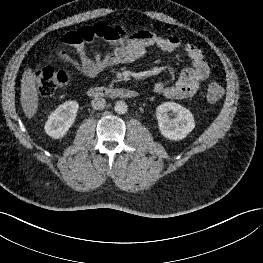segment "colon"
Here are the masks:
<instances>
[{
  "label": "colon",
  "instance_id": "colon-1",
  "mask_svg": "<svg viewBox=\"0 0 263 263\" xmlns=\"http://www.w3.org/2000/svg\"><path fill=\"white\" fill-rule=\"evenodd\" d=\"M35 76L38 93L42 96H51L70 80L71 74L68 71L45 67L37 70ZM223 95L224 89L219 83L209 84L206 96L210 102L219 101Z\"/></svg>",
  "mask_w": 263,
  "mask_h": 263
}]
</instances>
